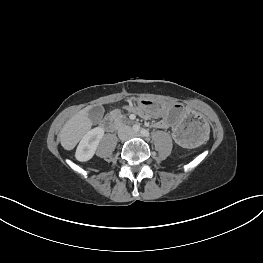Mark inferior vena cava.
I'll list each match as a JSON object with an SVG mask.
<instances>
[{"label":"inferior vena cava","mask_w":263,"mask_h":263,"mask_svg":"<svg viewBox=\"0 0 263 263\" xmlns=\"http://www.w3.org/2000/svg\"><path fill=\"white\" fill-rule=\"evenodd\" d=\"M118 136L120 139H128L133 136V131L129 126H122L118 130Z\"/></svg>","instance_id":"obj_1"}]
</instances>
